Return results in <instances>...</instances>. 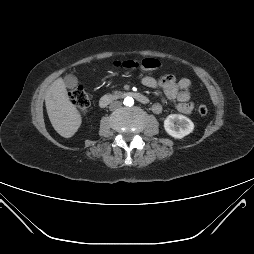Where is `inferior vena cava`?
Returning <instances> with one entry per match:
<instances>
[{
	"label": "inferior vena cava",
	"instance_id": "1",
	"mask_svg": "<svg viewBox=\"0 0 254 254\" xmlns=\"http://www.w3.org/2000/svg\"><path fill=\"white\" fill-rule=\"evenodd\" d=\"M121 106H122V103H121L120 101H113V102L110 104L109 109H110L111 111H113V110L119 109Z\"/></svg>",
	"mask_w": 254,
	"mask_h": 254
}]
</instances>
